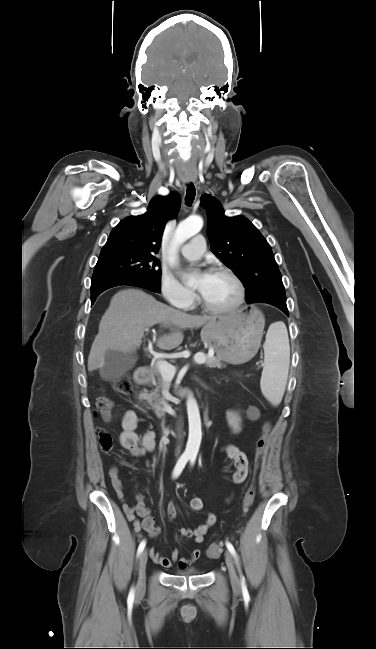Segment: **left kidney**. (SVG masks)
I'll return each mask as SVG.
<instances>
[{"instance_id": "1", "label": "left kidney", "mask_w": 376, "mask_h": 649, "mask_svg": "<svg viewBox=\"0 0 376 649\" xmlns=\"http://www.w3.org/2000/svg\"><path fill=\"white\" fill-rule=\"evenodd\" d=\"M227 420H228V423L230 424V426L236 432L240 430V427H239L240 418L236 414H234L232 412H227Z\"/></svg>"}]
</instances>
